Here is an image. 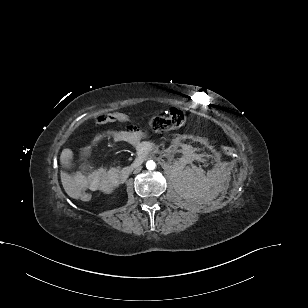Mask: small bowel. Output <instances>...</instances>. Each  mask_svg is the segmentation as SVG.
<instances>
[{
  "label": "small bowel",
  "mask_w": 308,
  "mask_h": 308,
  "mask_svg": "<svg viewBox=\"0 0 308 308\" xmlns=\"http://www.w3.org/2000/svg\"><path fill=\"white\" fill-rule=\"evenodd\" d=\"M109 136L114 141L125 142L138 147L143 143L144 133L136 127H130L126 130L113 131ZM100 139L101 137H98L96 141ZM62 163L66 169L71 170L76 193L86 190L109 192L118 183L119 170L117 168L92 169L85 165L80 171H73L72 155L70 151H65L62 154Z\"/></svg>",
  "instance_id": "1"
}]
</instances>
